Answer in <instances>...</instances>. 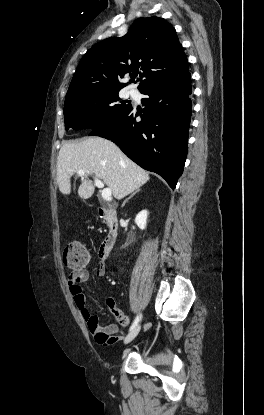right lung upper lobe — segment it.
<instances>
[{"label":"right lung upper lobe","mask_w":264,"mask_h":415,"mask_svg":"<svg viewBox=\"0 0 264 415\" xmlns=\"http://www.w3.org/2000/svg\"><path fill=\"white\" fill-rule=\"evenodd\" d=\"M188 71V60L174 27L163 18H139L123 37L105 39L86 52L72 78L66 99L119 92L127 85L118 81L124 76H138V90L142 91Z\"/></svg>","instance_id":"obj_1"}]
</instances>
